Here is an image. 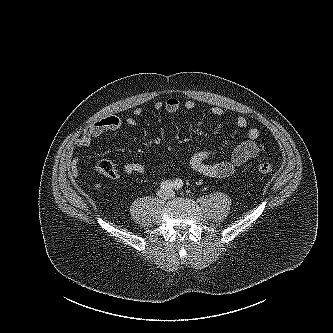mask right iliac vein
Instances as JSON below:
<instances>
[{"mask_svg":"<svg viewBox=\"0 0 333 333\" xmlns=\"http://www.w3.org/2000/svg\"><path fill=\"white\" fill-rule=\"evenodd\" d=\"M159 196H160V197H164V196H165V192H164V191H160V192H159Z\"/></svg>","mask_w":333,"mask_h":333,"instance_id":"right-iliac-vein-1","label":"right iliac vein"}]
</instances>
